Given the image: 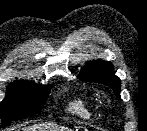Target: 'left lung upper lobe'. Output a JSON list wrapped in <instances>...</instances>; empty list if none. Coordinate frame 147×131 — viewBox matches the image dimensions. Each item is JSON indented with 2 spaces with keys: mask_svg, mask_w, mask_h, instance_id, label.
<instances>
[{
  "mask_svg": "<svg viewBox=\"0 0 147 131\" xmlns=\"http://www.w3.org/2000/svg\"><path fill=\"white\" fill-rule=\"evenodd\" d=\"M81 80L100 82L110 86L115 95L120 97V80L114 75L113 66L110 62L96 60L88 63L78 76Z\"/></svg>",
  "mask_w": 147,
  "mask_h": 131,
  "instance_id": "left-lung-upper-lobe-1",
  "label": "left lung upper lobe"
}]
</instances>
